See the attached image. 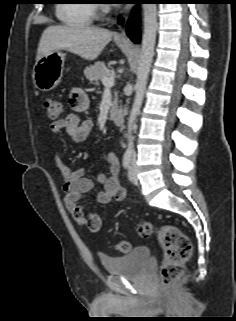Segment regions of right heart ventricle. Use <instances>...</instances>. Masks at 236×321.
<instances>
[{"instance_id":"obj_1","label":"right heart ventricle","mask_w":236,"mask_h":321,"mask_svg":"<svg viewBox=\"0 0 236 321\" xmlns=\"http://www.w3.org/2000/svg\"><path fill=\"white\" fill-rule=\"evenodd\" d=\"M94 11L90 0H66L57 6L56 15L66 25L85 26L92 22Z\"/></svg>"}]
</instances>
